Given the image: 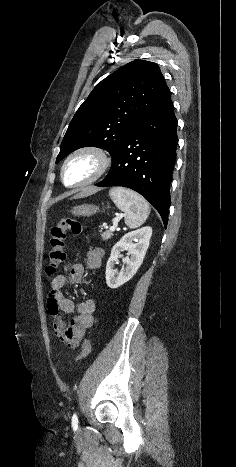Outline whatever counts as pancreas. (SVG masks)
I'll return each instance as SVG.
<instances>
[{"label":"pancreas","instance_id":"obj_1","mask_svg":"<svg viewBox=\"0 0 236 467\" xmlns=\"http://www.w3.org/2000/svg\"><path fill=\"white\" fill-rule=\"evenodd\" d=\"M113 236V233L111 231H106L101 233V237L103 240H108Z\"/></svg>","mask_w":236,"mask_h":467}]
</instances>
